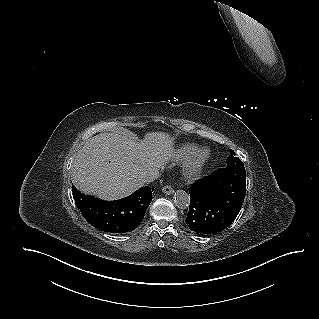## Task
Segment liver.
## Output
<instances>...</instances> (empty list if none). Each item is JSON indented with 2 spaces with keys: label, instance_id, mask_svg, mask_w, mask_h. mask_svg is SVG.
<instances>
[{
  "label": "liver",
  "instance_id": "1",
  "mask_svg": "<svg viewBox=\"0 0 319 319\" xmlns=\"http://www.w3.org/2000/svg\"><path fill=\"white\" fill-rule=\"evenodd\" d=\"M172 152L173 138L164 132H149L141 142L118 133H100L78 151L72 181L85 194L120 199L143 186L147 173L159 172Z\"/></svg>",
  "mask_w": 319,
  "mask_h": 319
}]
</instances>
